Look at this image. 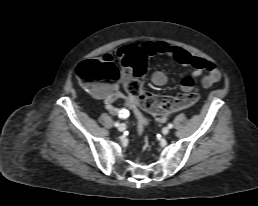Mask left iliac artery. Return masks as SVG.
Returning <instances> with one entry per match:
<instances>
[{
	"mask_svg": "<svg viewBox=\"0 0 258 206\" xmlns=\"http://www.w3.org/2000/svg\"><path fill=\"white\" fill-rule=\"evenodd\" d=\"M168 128H170V129L173 128V124L169 123Z\"/></svg>",
	"mask_w": 258,
	"mask_h": 206,
	"instance_id": "1",
	"label": "left iliac artery"
}]
</instances>
